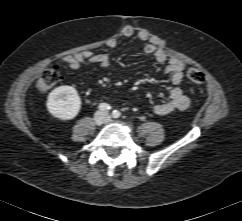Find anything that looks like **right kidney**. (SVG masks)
Instances as JSON below:
<instances>
[{
    "mask_svg": "<svg viewBox=\"0 0 242 221\" xmlns=\"http://www.w3.org/2000/svg\"><path fill=\"white\" fill-rule=\"evenodd\" d=\"M47 109L54 117L66 121L74 119L81 108V99L75 88L60 86L48 96Z\"/></svg>",
    "mask_w": 242,
    "mask_h": 221,
    "instance_id": "1",
    "label": "right kidney"
}]
</instances>
